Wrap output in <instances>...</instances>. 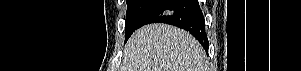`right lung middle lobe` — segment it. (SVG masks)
<instances>
[{
	"label": "right lung middle lobe",
	"mask_w": 301,
	"mask_h": 71,
	"mask_svg": "<svg viewBox=\"0 0 301 71\" xmlns=\"http://www.w3.org/2000/svg\"><path fill=\"white\" fill-rule=\"evenodd\" d=\"M158 0H127V13L125 21V41L138 28L146 12Z\"/></svg>",
	"instance_id": "dd1d6c3e"
}]
</instances>
